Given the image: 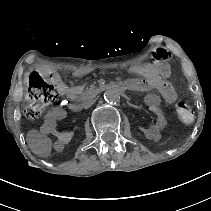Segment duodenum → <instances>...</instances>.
I'll list each match as a JSON object with an SVG mask.
<instances>
[{
  "label": "duodenum",
  "instance_id": "410a0bca",
  "mask_svg": "<svg viewBox=\"0 0 211 211\" xmlns=\"http://www.w3.org/2000/svg\"><path fill=\"white\" fill-rule=\"evenodd\" d=\"M138 89V83L136 80H121L112 82L109 84L101 85L97 87L94 91L96 93H101L107 90H115L118 92L136 91ZM70 109L74 112H78L82 109V103L80 101H73L69 105Z\"/></svg>",
  "mask_w": 211,
  "mask_h": 211
}]
</instances>
